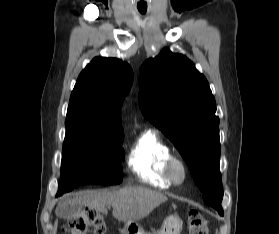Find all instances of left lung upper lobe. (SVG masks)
<instances>
[{
    "label": "left lung upper lobe",
    "instance_id": "5c2ea615",
    "mask_svg": "<svg viewBox=\"0 0 279 234\" xmlns=\"http://www.w3.org/2000/svg\"><path fill=\"white\" fill-rule=\"evenodd\" d=\"M139 105L181 153L204 202L223 215L219 118L204 75L187 57L164 49L140 68Z\"/></svg>",
    "mask_w": 279,
    "mask_h": 234
}]
</instances>
